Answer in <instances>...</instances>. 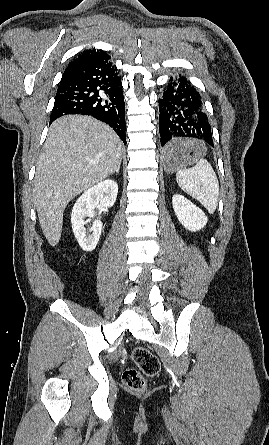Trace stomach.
Masks as SVG:
<instances>
[{
    "mask_svg": "<svg viewBox=\"0 0 269 445\" xmlns=\"http://www.w3.org/2000/svg\"><path fill=\"white\" fill-rule=\"evenodd\" d=\"M202 145L197 140H185L180 142V148L176 153L162 155V165L167 173H173L180 168L196 162L200 157Z\"/></svg>",
    "mask_w": 269,
    "mask_h": 445,
    "instance_id": "stomach-1",
    "label": "stomach"
}]
</instances>
